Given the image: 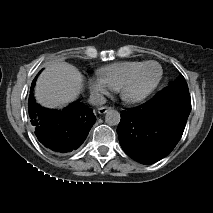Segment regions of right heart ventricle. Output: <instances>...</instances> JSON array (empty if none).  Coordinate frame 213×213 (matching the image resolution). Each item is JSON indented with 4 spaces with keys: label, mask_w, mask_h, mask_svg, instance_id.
I'll return each instance as SVG.
<instances>
[{
    "label": "right heart ventricle",
    "mask_w": 213,
    "mask_h": 213,
    "mask_svg": "<svg viewBox=\"0 0 213 213\" xmlns=\"http://www.w3.org/2000/svg\"><path fill=\"white\" fill-rule=\"evenodd\" d=\"M142 61H120L106 65L98 70V75L103 78L112 90H118L121 83L137 68Z\"/></svg>",
    "instance_id": "1"
}]
</instances>
